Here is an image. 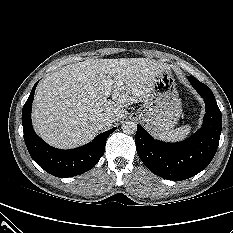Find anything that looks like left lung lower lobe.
I'll return each instance as SVG.
<instances>
[{
  "mask_svg": "<svg viewBox=\"0 0 233 233\" xmlns=\"http://www.w3.org/2000/svg\"><path fill=\"white\" fill-rule=\"evenodd\" d=\"M205 102L202 127L179 143L154 140L140 125L135 137L137 153L145 166L156 175L181 181L204 170L213 159L222 130V116L214 94L194 76L187 77Z\"/></svg>",
  "mask_w": 233,
  "mask_h": 233,
  "instance_id": "obj_1",
  "label": "left lung lower lobe"
}]
</instances>
